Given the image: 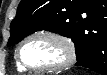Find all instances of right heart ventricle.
<instances>
[{
  "label": "right heart ventricle",
  "mask_w": 107,
  "mask_h": 75,
  "mask_svg": "<svg viewBox=\"0 0 107 75\" xmlns=\"http://www.w3.org/2000/svg\"><path fill=\"white\" fill-rule=\"evenodd\" d=\"M17 67H18L19 70H25V68L22 65H20L19 62H17Z\"/></svg>",
  "instance_id": "obj_1"
}]
</instances>
